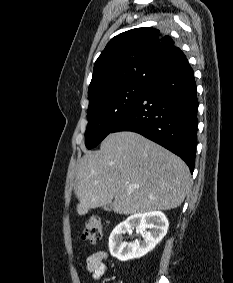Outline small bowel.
<instances>
[{
	"label": "small bowel",
	"mask_w": 233,
	"mask_h": 283,
	"mask_svg": "<svg viewBox=\"0 0 233 283\" xmlns=\"http://www.w3.org/2000/svg\"><path fill=\"white\" fill-rule=\"evenodd\" d=\"M107 258L108 254L105 251H97L87 258V269L91 272L94 281L100 279L106 272L105 261Z\"/></svg>",
	"instance_id": "1"
}]
</instances>
